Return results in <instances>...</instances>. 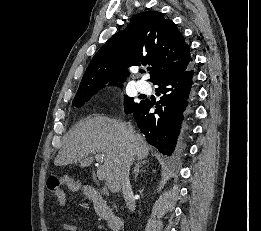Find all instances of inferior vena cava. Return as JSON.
<instances>
[{"label":"inferior vena cava","instance_id":"1","mask_svg":"<svg viewBox=\"0 0 261 231\" xmlns=\"http://www.w3.org/2000/svg\"><path fill=\"white\" fill-rule=\"evenodd\" d=\"M128 132L130 136L133 135L134 130L131 126L128 127ZM129 168H130V163H127V168L124 172V177H123L122 192L127 208L133 212L135 210V203L133 200V192L130 185Z\"/></svg>","mask_w":261,"mask_h":231}]
</instances>
